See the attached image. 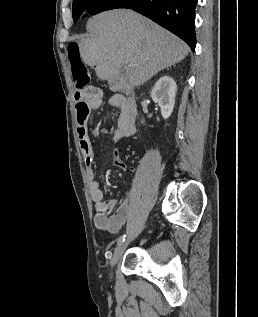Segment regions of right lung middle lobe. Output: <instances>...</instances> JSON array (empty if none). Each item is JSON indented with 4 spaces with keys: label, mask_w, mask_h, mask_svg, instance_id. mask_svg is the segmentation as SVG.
I'll list each match as a JSON object with an SVG mask.
<instances>
[{
    "label": "right lung middle lobe",
    "mask_w": 258,
    "mask_h": 317,
    "mask_svg": "<svg viewBox=\"0 0 258 317\" xmlns=\"http://www.w3.org/2000/svg\"><path fill=\"white\" fill-rule=\"evenodd\" d=\"M113 1L114 0H73V21L76 22L80 18L89 3L91 5L93 4V6H98L108 2L106 5L107 7Z\"/></svg>",
    "instance_id": "1"
}]
</instances>
